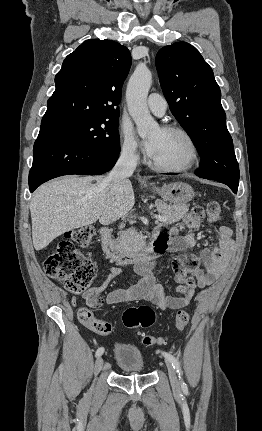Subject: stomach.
I'll list each match as a JSON object with an SVG mask.
<instances>
[{"label":"stomach","mask_w":262,"mask_h":431,"mask_svg":"<svg viewBox=\"0 0 262 431\" xmlns=\"http://www.w3.org/2000/svg\"><path fill=\"white\" fill-rule=\"evenodd\" d=\"M153 190L174 205H186L194 197L193 188L184 182H172L161 188L154 187Z\"/></svg>","instance_id":"1"}]
</instances>
